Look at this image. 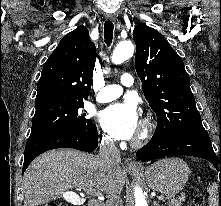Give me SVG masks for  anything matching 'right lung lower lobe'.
<instances>
[{"mask_svg": "<svg viewBox=\"0 0 221 206\" xmlns=\"http://www.w3.org/2000/svg\"><path fill=\"white\" fill-rule=\"evenodd\" d=\"M98 146L96 126L83 131H57L30 136L26 142L22 174L34 158L56 148H74L91 152Z\"/></svg>", "mask_w": 221, "mask_h": 206, "instance_id": "right-lung-lower-lobe-1", "label": "right lung lower lobe"}]
</instances>
